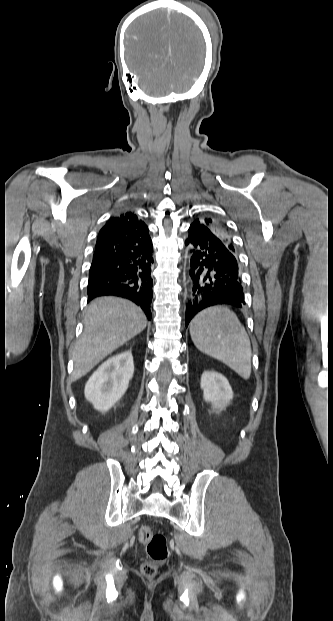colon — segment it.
<instances>
[{
    "mask_svg": "<svg viewBox=\"0 0 333 621\" xmlns=\"http://www.w3.org/2000/svg\"><path fill=\"white\" fill-rule=\"evenodd\" d=\"M139 540L146 547L149 559L142 563L141 572L146 578H154L160 566L169 555L167 539L163 534L154 533L149 526L139 529Z\"/></svg>",
    "mask_w": 333,
    "mask_h": 621,
    "instance_id": "1",
    "label": "colon"
}]
</instances>
